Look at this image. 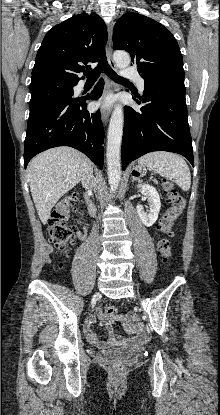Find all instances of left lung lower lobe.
Wrapping results in <instances>:
<instances>
[{
    "instance_id": "obj_1",
    "label": "left lung lower lobe",
    "mask_w": 220,
    "mask_h": 415,
    "mask_svg": "<svg viewBox=\"0 0 220 415\" xmlns=\"http://www.w3.org/2000/svg\"><path fill=\"white\" fill-rule=\"evenodd\" d=\"M144 80L143 95L133 97L143 104L140 111L125 107L122 169L153 151L181 154L194 166L184 80L162 77Z\"/></svg>"
}]
</instances>
